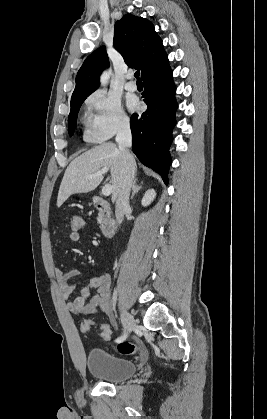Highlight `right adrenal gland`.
I'll use <instances>...</instances> for the list:
<instances>
[{"label":"right adrenal gland","instance_id":"2a0ac1e0","mask_svg":"<svg viewBox=\"0 0 267 419\" xmlns=\"http://www.w3.org/2000/svg\"><path fill=\"white\" fill-rule=\"evenodd\" d=\"M142 188L141 185H137V178H135L133 185H132V194L131 200L134 198L135 194Z\"/></svg>","mask_w":267,"mask_h":419}]
</instances>
